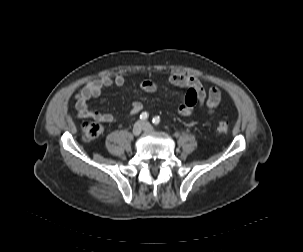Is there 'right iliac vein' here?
Segmentation results:
<instances>
[{
    "label": "right iliac vein",
    "instance_id": "1",
    "mask_svg": "<svg viewBox=\"0 0 303 252\" xmlns=\"http://www.w3.org/2000/svg\"><path fill=\"white\" fill-rule=\"evenodd\" d=\"M143 129H144V125L140 121H138L133 126L132 134L134 136H138L143 131Z\"/></svg>",
    "mask_w": 303,
    "mask_h": 252
}]
</instances>
